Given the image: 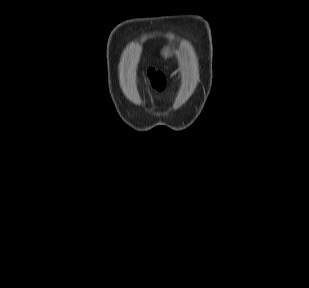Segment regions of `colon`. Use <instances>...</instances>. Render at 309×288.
I'll return each mask as SVG.
<instances>
[{
  "label": "colon",
  "instance_id": "1",
  "mask_svg": "<svg viewBox=\"0 0 309 288\" xmlns=\"http://www.w3.org/2000/svg\"><path fill=\"white\" fill-rule=\"evenodd\" d=\"M154 84H155L156 88L163 89L165 87L164 77L161 74H156Z\"/></svg>",
  "mask_w": 309,
  "mask_h": 288
}]
</instances>
